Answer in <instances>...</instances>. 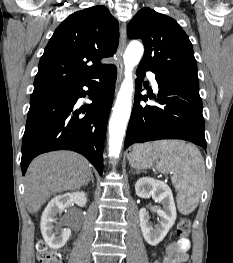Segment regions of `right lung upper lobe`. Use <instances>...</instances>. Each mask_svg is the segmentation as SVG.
Masks as SVG:
<instances>
[{"instance_id":"1","label":"right lung upper lobe","mask_w":233,"mask_h":263,"mask_svg":"<svg viewBox=\"0 0 233 263\" xmlns=\"http://www.w3.org/2000/svg\"><path fill=\"white\" fill-rule=\"evenodd\" d=\"M119 24L98 5L68 16L55 30L34 80L38 93L94 78L108 65L101 59L116 52ZM91 64V65H88Z\"/></svg>"}]
</instances>
